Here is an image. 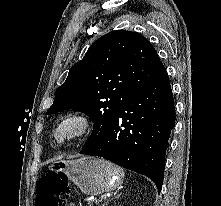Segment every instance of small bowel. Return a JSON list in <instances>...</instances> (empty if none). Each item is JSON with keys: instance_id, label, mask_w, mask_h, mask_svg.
Listing matches in <instances>:
<instances>
[{"instance_id": "c3829d8e", "label": "small bowel", "mask_w": 221, "mask_h": 206, "mask_svg": "<svg viewBox=\"0 0 221 206\" xmlns=\"http://www.w3.org/2000/svg\"><path fill=\"white\" fill-rule=\"evenodd\" d=\"M68 206H75V204H73V203H69Z\"/></svg>"}]
</instances>
